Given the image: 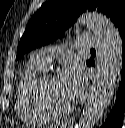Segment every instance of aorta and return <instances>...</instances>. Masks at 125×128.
Wrapping results in <instances>:
<instances>
[{
	"mask_svg": "<svg viewBox=\"0 0 125 128\" xmlns=\"http://www.w3.org/2000/svg\"><path fill=\"white\" fill-rule=\"evenodd\" d=\"M81 22L98 39L96 77L77 128H93L110 105L121 69L122 42L118 30L105 16L87 12Z\"/></svg>",
	"mask_w": 125,
	"mask_h": 128,
	"instance_id": "1",
	"label": "aorta"
}]
</instances>
